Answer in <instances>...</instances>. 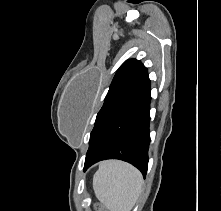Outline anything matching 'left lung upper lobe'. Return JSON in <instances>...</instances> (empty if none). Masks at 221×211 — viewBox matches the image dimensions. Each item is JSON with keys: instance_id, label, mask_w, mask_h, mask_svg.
<instances>
[{"instance_id": "5c2ea615", "label": "left lung upper lobe", "mask_w": 221, "mask_h": 211, "mask_svg": "<svg viewBox=\"0 0 221 211\" xmlns=\"http://www.w3.org/2000/svg\"><path fill=\"white\" fill-rule=\"evenodd\" d=\"M148 79L147 68L139 60L130 59L121 65L97 114L90 134L89 149L112 119L139 94Z\"/></svg>"}]
</instances>
